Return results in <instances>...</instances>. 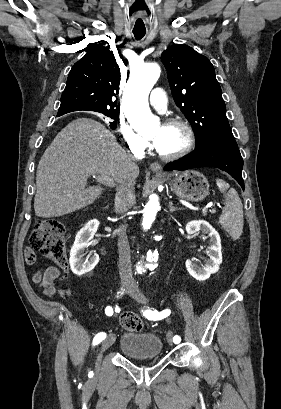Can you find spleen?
<instances>
[{
  "label": "spleen",
  "instance_id": "3e777b00",
  "mask_svg": "<svg viewBox=\"0 0 281 409\" xmlns=\"http://www.w3.org/2000/svg\"><path fill=\"white\" fill-rule=\"evenodd\" d=\"M216 184L224 192V207L222 215L219 219L220 225L223 229L229 233L233 241L240 239L243 233V205L236 192L235 188H230V184L222 180V178H216Z\"/></svg>",
  "mask_w": 281,
  "mask_h": 409
}]
</instances>
